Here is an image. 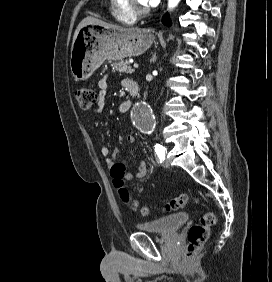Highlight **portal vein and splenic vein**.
<instances>
[{
	"label": "portal vein and splenic vein",
	"mask_w": 272,
	"mask_h": 282,
	"mask_svg": "<svg viewBox=\"0 0 272 282\" xmlns=\"http://www.w3.org/2000/svg\"><path fill=\"white\" fill-rule=\"evenodd\" d=\"M133 67H134V68H138V67H139V65H138V64H136V63H134V64H133Z\"/></svg>",
	"instance_id": "1"
}]
</instances>
